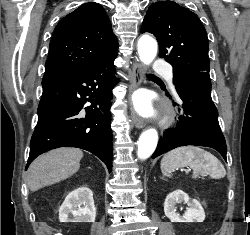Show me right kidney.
<instances>
[{
    "label": "right kidney",
    "mask_w": 250,
    "mask_h": 235,
    "mask_svg": "<svg viewBox=\"0 0 250 235\" xmlns=\"http://www.w3.org/2000/svg\"><path fill=\"white\" fill-rule=\"evenodd\" d=\"M95 217L93 193L86 186L70 192L59 209L60 222H94Z\"/></svg>",
    "instance_id": "right-kidney-1"
}]
</instances>
